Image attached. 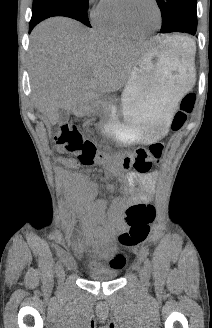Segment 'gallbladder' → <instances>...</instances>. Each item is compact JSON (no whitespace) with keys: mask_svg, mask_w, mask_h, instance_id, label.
Masks as SVG:
<instances>
[{"mask_svg":"<svg viewBox=\"0 0 212 328\" xmlns=\"http://www.w3.org/2000/svg\"><path fill=\"white\" fill-rule=\"evenodd\" d=\"M58 114H59V120H58L59 124L66 123L69 120V116H70L69 110L60 108Z\"/></svg>","mask_w":212,"mask_h":328,"instance_id":"obj_1","label":"gallbladder"}]
</instances>
